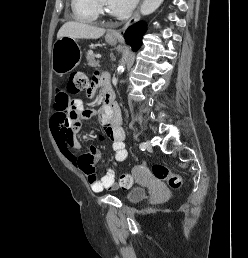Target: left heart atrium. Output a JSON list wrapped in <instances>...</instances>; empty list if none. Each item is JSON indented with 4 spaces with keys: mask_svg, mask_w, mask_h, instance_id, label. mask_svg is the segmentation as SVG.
I'll use <instances>...</instances> for the list:
<instances>
[{
    "mask_svg": "<svg viewBox=\"0 0 248 258\" xmlns=\"http://www.w3.org/2000/svg\"><path fill=\"white\" fill-rule=\"evenodd\" d=\"M109 10L117 16H126L138 0H106Z\"/></svg>",
    "mask_w": 248,
    "mask_h": 258,
    "instance_id": "39dd6f15",
    "label": "left heart atrium"
}]
</instances>
